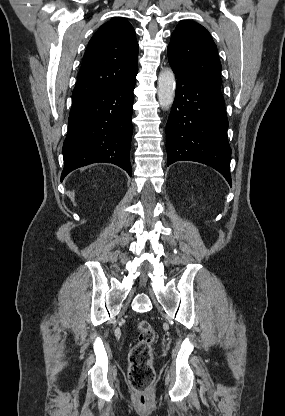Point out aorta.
<instances>
[{
  "mask_svg": "<svg viewBox=\"0 0 285 416\" xmlns=\"http://www.w3.org/2000/svg\"><path fill=\"white\" fill-rule=\"evenodd\" d=\"M175 97V76L172 70L160 72L158 77V100L163 109H168Z\"/></svg>",
  "mask_w": 285,
  "mask_h": 416,
  "instance_id": "1",
  "label": "aorta"
}]
</instances>
